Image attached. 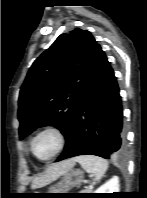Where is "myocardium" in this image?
<instances>
[{
    "label": "myocardium",
    "mask_w": 147,
    "mask_h": 198,
    "mask_svg": "<svg viewBox=\"0 0 147 198\" xmlns=\"http://www.w3.org/2000/svg\"><path fill=\"white\" fill-rule=\"evenodd\" d=\"M45 133L54 134L58 140V145H57L56 150L50 156H48L46 158H40L35 154L34 142L40 135L45 134ZM65 145H66V136H65L64 132L62 131V129L57 126L50 125V126L43 127L42 129L38 130L33 135V137L30 140V151H31L33 157H35L37 160H39L41 162H48V161L54 159L56 156H58L63 151Z\"/></svg>",
    "instance_id": "obj_1"
}]
</instances>
